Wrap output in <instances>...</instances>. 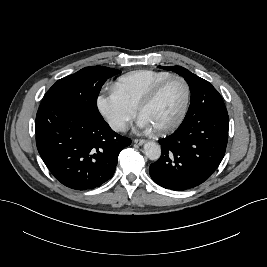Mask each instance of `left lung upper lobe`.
<instances>
[{
    "label": "left lung upper lobe",
    "instance_id": "obj_1",
    "mask_svg": "<svg viewBox=\"0 0 267 267\" xmlns=\"http://www.w3.org/2000/svg\"><path fill=\"white\" fill-rule=\"evenodd\" d=\"M160 67L166 70L174 71L183 76L190 87V106L184 121L192 117L193 106L201 104L202 102H206V104L210 106L209 108L213 109L219 114L227 113L222 97L208 81L198 77L197 75L180 66Z\"/></svg>",
    "mask_w": 267,
    "mask_h": 267
}]
</instances>
